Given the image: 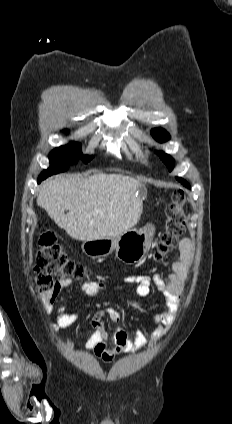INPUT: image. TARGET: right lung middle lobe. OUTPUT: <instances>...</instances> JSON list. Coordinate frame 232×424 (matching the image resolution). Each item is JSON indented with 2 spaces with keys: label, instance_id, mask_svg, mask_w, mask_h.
Returning <instances> with one entry per match:
<instances>
[{
  "label": "right lung middle lobe",
  "instance_id": "1",
  "mask_svg": "<svg viewBox=\"0 0 232 424\" xmlns=\"http://www.w3.org/2000/svg\"><path fill=\"white\" fill-rule=\"evenodd\" d=\"M92 157L93 156H83L80 145L77 143L55 148L51 151L49 156L50 167L44 170L38 179H45L52 174L67 170L68 165L78 158H83L84 162L87 163Z\"/></svg>",
  "mask_w": 232,
  "mask_h": 424
}]
</instances>
